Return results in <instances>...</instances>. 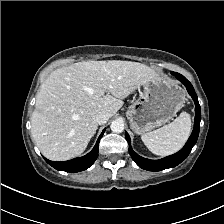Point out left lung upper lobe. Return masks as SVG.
I'll return each instance as SVG.
<instances>
[{
    "mask_svg": "<svg viewBox=\"0 0 224 224\" xmlns=\"http://www.w3.org/2000/svg\"><path fill=\"white\" fill-rule=\"evenodd\" d=\"M173 75H175L176 72H171Z\"/></svg>",
    "mask_w": 224,
    "mask_h": 224,
    "instance_id": "5c2ea615",
    "label": "left lung upper lobe"
}]
</instances>
